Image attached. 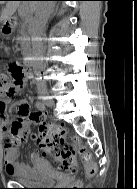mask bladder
I'll return each instance as SVG.
<instances>
[{
    "instance_id": "1",
    "label": "bladder",
    "mask_w": 137,
    "mask_h": 189,
    "mask_svg": "<svg viewBox=\"0 0 137 189\" xmlns=\"http://www.w3.org/2000/svg\"><path fill=\"white\" fill-rule=\"evenodd\" d=\"M12 177L16 181L27 185H50L55 183L58 175L50 163L41 160L40 163L30 168L28 174L19 175L15 173Z\"/></svg>"
}]
</instances>
